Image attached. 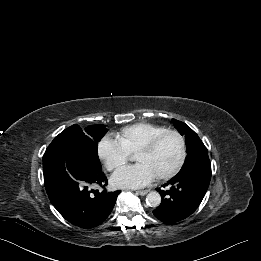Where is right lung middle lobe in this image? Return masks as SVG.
<instances>
[{
  "label": "right lung middle lobe",
  "instance_id": "obj_1",
  "mask_svg": "<svg viewBox=\"0 0 261 261\" xmlns=\"http://www.w3.org/2000/svg\"><path fill=\"white\" fill-rule=\"evenodd\" d=\"M107 129L104 125H91L85 131L78 125L70 126L54 138L43 156V168L49 169L69 160L71 150L74 149L75 140H78L84 150L87 160L92 165L101 168L98 158L97 142L104 136Z\"/></svg>",
  "mask_w": 261,
  "mask_h": 261
}]
</instances>
